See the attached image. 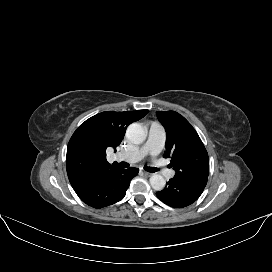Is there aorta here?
Listing matches in <instances>:
<instances>
[{
    "mask_svg": "<svg viewBox=\"0 0 272 272\" xmlns=\"http://www.w3.org/2000/svg\"><path fill=\"white\" fill-rule=\"evenodd\" d=\"M126 137L131 143L140 144L146 138L145 130L141 124L132 123L127 127ZM149 181L151 187L156 191L163 190L166 184L165 178L159 174L152 175Z\"/></svg>",
    "mask_w": 272,
    "mask_h": 272,
    "instance_id": "1",
    "label": "aorta"
}]
</instances>
